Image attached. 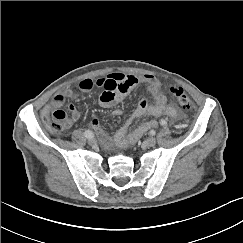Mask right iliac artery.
Masks as SVG:
<instances>
[{
    "mask_svg": "<svg viewBox=\"0 0 243 243\" xmlns=\"http://www.w3.org/2000/svg\"><path fill=\"white\" fill-rule=\"evenodd\" d=\"M84 135H85L87 138H91V137H93V133L90 132V131H88V130H86V131L84 132Z\"/></svg>",
    "mask_w": 243,
    "mask_h": 243,
    "instance_id": "obj_1",
    "label": "right iliac artery"
}]
</instances>
